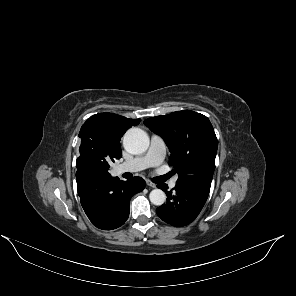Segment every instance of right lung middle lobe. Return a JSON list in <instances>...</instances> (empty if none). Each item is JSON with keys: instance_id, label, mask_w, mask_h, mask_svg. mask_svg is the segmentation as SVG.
Returning a JSON list of instances; mask_svg holds the SVG:
<instances>
[{"instance_id": "obj_1", "label": "right lung middle lobe", "mask_w": 296, "mask_h": 296, "mask_svg": "<svg viewBox=\"0 0 296 296\" xmlns=\"http://www.w3.org/2000/svg\"><path fill=\"white\" fill-rule=\"evenodd\" d=\"M79 150V158L89 160L103 175H110L108 172L109 163L114 162L116 157L108 148L92 143H81Z\"/></svg>"}]
</instances>
